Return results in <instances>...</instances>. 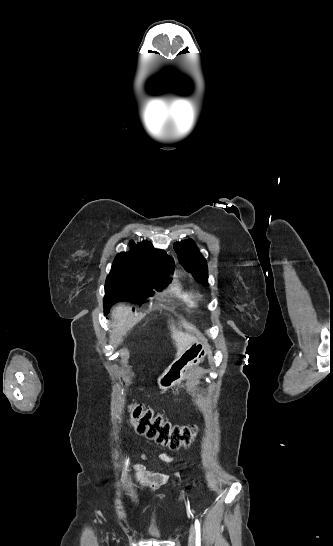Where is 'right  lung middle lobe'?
<instances>
[{
    "instance_id": "right-lung-middle-lobe-1",
    "label": "right lung middle lobe",
    "mask_w": 333,
    "mask_h": 546,
    "mask_svg": "<svg viewBox=\"0 0 333 546\" xmlns=\"http://www.w3.org/2000/svg\"><path fill=\"white\" fill-rule=\"evenodd\" d=\"M174 269V264L161 263L153 276L140 275L126 271L122 266L113 263L112 270L106 279L104 297L105 314L118 301L139 303L152 292V288L159 291L166 282L160 277L163 271Z\"/></svg>"
}]
</instances>
